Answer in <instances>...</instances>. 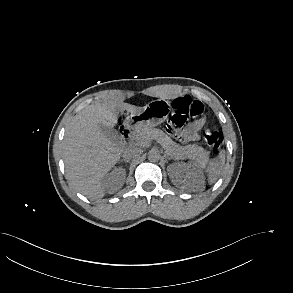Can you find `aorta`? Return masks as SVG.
<instances>
[{
    "label": "aorta",
    "mask_w": 293,
    "mask_h": 293,
    "mask_svg": "<svg viewBox=\"0 0 293 293\" xmlns=\"http://www.w3.org/2000/svg\"><path fill=\"white\" fill-rule=\"evenodd\" d=\"M161 158V155H160V152L156 149H151L149 152H148V159L151 161V162H157L159 161Z\"/></svg>",
    "instance_id": "1"
}]
</instances>
